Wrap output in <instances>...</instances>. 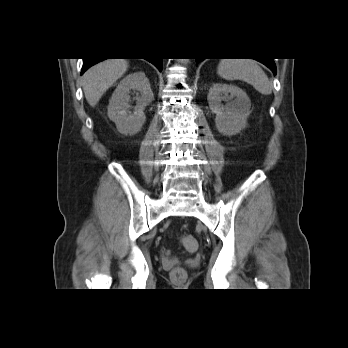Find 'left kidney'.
I'll return each instance as SVG.
<instances>
[{"mask_svg":"<svg viewBox=\"0 0 348 348\" xmlns=\"http://www.w3.org/2000/svg\"><path fill=\"white\" fill-rule=\"evenodd\" d=\"M210 110L216 114L217 130L224 135H235L247 125L251 113L248 95L235 85L216 83L207 96ZM222 101H226L225 105Z\"/></svg>","mask_w":348,"mask_h":348,"instance_id":"obj_1","label":"left kidney"}]
</instances>
